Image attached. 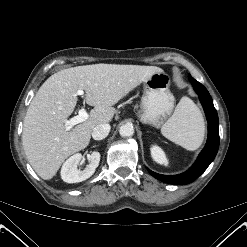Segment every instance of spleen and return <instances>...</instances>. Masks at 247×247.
Returning <instances> with one entry per match:
<instances>
[{
	"label": "spleen",
	"instance_id": "spleen-1",
	"mask_svg": "<svg viewBox=\"0 0 247 247\" xmlns=\"http://www.w3.org/2000/svg\"><path fill=\"white\" fill-rule=\"evenodd\" d=\"M161 133L189 151L198 149L205 134L204 119L199 108L190 98L182 97L173 115L163 124Z\"/></svg>",
	"mask_w": 247,
	"mask_h": 247
}]
</instances>
